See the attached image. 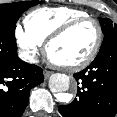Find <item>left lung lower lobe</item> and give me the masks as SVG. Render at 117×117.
Wrapping results in <instances>:
<instances>
[{
  "label": "left lung lower lobe",
  "instance_id": "0a47b994",
  "mask_svg": "<svg viewBox=\"0 0 117 117\" xmlns=\"http://www.w3.org/2000/svg\"><path fill=\"white\" fill-rule=\"evenodd\" d=\"M77 98L59 106L63 117H114L117 113V37L101 47L94 61L73 75Z\"/></svg>",
  "mask_w": 117,
  "mask_h": 117
}]
</instances>
